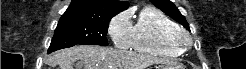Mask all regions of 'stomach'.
I'll return each instance as SVG.
<instances>
[{"mask_svg":"<svg viewBox=\"0 0 246 69\" xmlns=\"http://www.w3.org/2000/svg\"><path fill=\"white\" fill-rule=\"evenodd\" d=\"M156 69H185L181 65H174L171 63H164L156 67Z\"/></svg>","mask_w":246,"mask_h":69,"instance_id":"0dacf381","label":"stomach"}]
</instances>
